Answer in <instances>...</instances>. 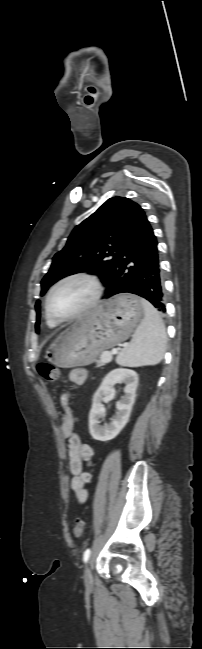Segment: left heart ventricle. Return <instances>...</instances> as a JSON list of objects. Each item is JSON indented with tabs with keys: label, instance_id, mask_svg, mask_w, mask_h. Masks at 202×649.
<instances>
[{
	"label": "left heart ventricle",
	"instance_id": "b2bd125f",
	"mask_svg": "<svg viewBox=\"0 0 202 649\" xmlns=\"http://www.w3.org/2000/svg\"><path fill=\"white\" fill-rule=\"evenodd\" d=\"M93 295V288L83 279H73L60 285L53 293L49 306L54 315L65 318L86 305Z\"/></svg>",
	"mask_w": 202,
	"mask_h": 649
}]
</instances>
